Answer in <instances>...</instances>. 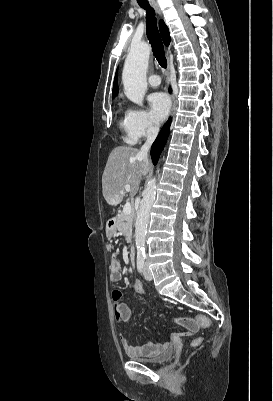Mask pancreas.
Returning a JSON list of instances; mask_svg holds the SVG:
<instances>
[{
	"instance_id": "1",
	"label": "pancreas",
	"mask_w": 273,
	"mask_h": 401,
	"mask_svg": "<svg viewBox=\"0 0 273 401\" xmlns=\"http://www.w3.org/2000/svg\"><path fill=\"white\" fill-rule=\"evenodd\" d=\"M134 213H130V215H124V213H118L117 221H116V229L128 239L132 237V225H133Z\"/></svg>"
}]
</instances>
